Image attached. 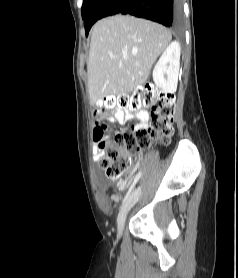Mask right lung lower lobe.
<instances>
[{
    "label": "right lung lower lobe",
    "mask_w": 238,
    "mask_h": 278,
    "mask_svg": "<svg viewBox=\"0 0 238 278\" xmlns=\"http://www.w3.org/2000/svg\"><path fill=\"white\" fill-rule=\"evenodd\" d=\"M131 14L167 27L182 24L181 0H97L84 19L86 35L99 19L113 14Z\"/></svg>",
    "instance_id": "1"
}]
</instances>
